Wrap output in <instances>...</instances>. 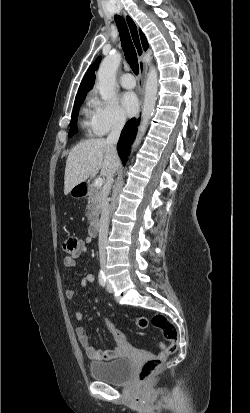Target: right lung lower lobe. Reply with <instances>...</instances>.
Wrapping results in <instances>:
<instances>
[{"label": "right lung lower lobe", "instance_id": "right-lung-lower-lobe-1", "mask_svg": "<svg viewBox=\"0 0 250 413\" xmlns=\"http://www.w3.org/2000/svg\"><path fill=\"white\" fill-rule=\"evenodd\" d=\"M139 123L140 119L132 118L126 123L121 132V136L117 144V150L123 165L126 163L127 156L129 155L131 144L136 136Z\"/></svg>", "mask_w": 250, "mask_h": 413}]
</instances>
